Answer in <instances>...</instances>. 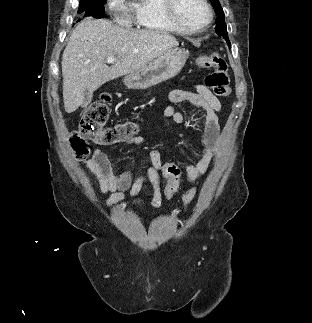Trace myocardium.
I'll use <instances>...</instances> for the list:
<instances>
[{"instance_id": "myocardium-1", "label": "myocardium", "mask_w": 312, "mask_h": 323, "mask_svg": "<svg viewBox=\"0 0 312 323\" xmlns=\"http://www.w3.org/2000/svg\"><path fill=\"white\" fill-rule=\"evenodd\" d=\"M164 6L162 13L167 19L168 25H178L179 31H206V27L210 24L213 17L215 16V11L210 10L209 3L206 0H195L197 8H199L200 13H205L201 20H186L182 18L175 10H178V0H164Z\"/></svg>"}]
</instances>
